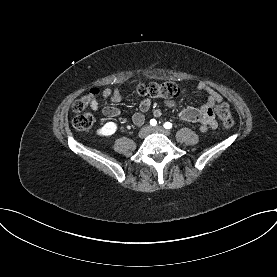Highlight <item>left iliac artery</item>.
<instances>
[{"instance_id": "obj_1", "label": "left iliac artery", "mask_w": 277, "mask_h": 277, "mask_svg": "<svg viewBox=\"0 0 277 277\" xmlns=\"http://www.w3.org/2000/svg\"><path fill=\"white\" fill-rule=\"evenodd\" d=\"M164 128L170 129V128H172V124L170 122H166V123H164Z\"/></svg>"}]
</instances>
